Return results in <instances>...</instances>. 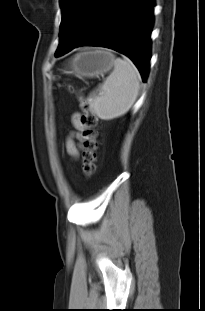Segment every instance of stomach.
Returning <instances> with one entry per match:
<instances>
[{
    "label": "stomach",
    "instance_id": "stomach-1",
    "mask_svg": "<svg viewBox=\"0 0 205 311\" xmlns=\"http://www.w3.org/2000/svg\"><path fill=\"white\" fill-rule=\"evenodd\" d=\"M115 56L106 49L84 51L69 62L65 73L77 77L94 78L109 72L114 66Z\"/></svg>",
    "mask_w": 205,
    "mask_h": 311
}]
</instances>
